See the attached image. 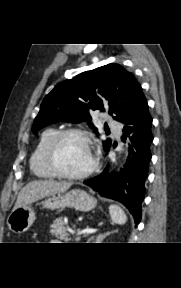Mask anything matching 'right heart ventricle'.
I'll return each mask as SVG.
<instances>
[{
    "label": "right heart ventricle",
    "mask_w": 181,
    "mask_h": 288,
    "mask_svg": "<svg viewBox=\"0 0 181 288\" xmlns=\"http://www.w3.org/2000/svg\"><path fill=\"white\" fill-rule=\"evenodd\" d=\"M57 132L58 131L54 128L46 129L42 133L31 155L30 169L32 173L40 179H54L58 177L55 173L52 172V170L48 167L46 162L47 147Z\"/></svg>",
    "instance_id": "obj_1"
}]
</instances>
